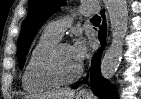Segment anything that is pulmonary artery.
I'll use <instances>...</instances> for the list:
<instances>
[{
	"mask_svg": "<svg viewBox=\"0 0 141 99\" xmlns=\"http://www.w3.org/2000/svg\"><path fill=\"white\" fill-rule=\"evenodd\" d=\"M95 11L96 7L93 4H84L78 9L75 14H73V16H65L48 23L44 29V32L59 39L62 36L63 32L66 30V28L72 23V17L77 14L89 16Z\"/></svg>",
	"mask_w": 141,
	"mask_h": 99,
	"instance_id": "obj_1",
	"label": "pulmonary artery"
}]
</instances>
